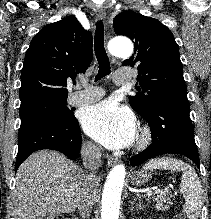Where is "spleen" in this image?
<instances>
[{
    "mask_svg": "<svg viewBox=\"0 0 211 219\" xmlns=\"http://www.w3.org/2000/svg\"><path fill=\"white\" fill-rule=\"evenodd\" d=\"M143 168L182 172L180 191L186 200L183 212L189 219H198L202 209L203 190L195 170L189 164L175 158L162 157L148 161Z\"/></svg>",
    "mask_w": 211,
    "mask_h": 219,
    "instance_id": "3e777b00",
    "label": "spleen"
}]
</instances>
